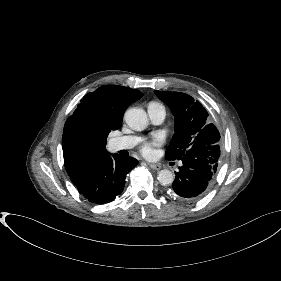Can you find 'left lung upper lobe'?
I'll return each mask as SVG.
<instances>
[{"instance_id":"left-lung-upper-lobe-1","label":"left lung upper lobe","mask_w":281,"mask_h":281,"mask_svg":"<svg viewBox=\"0 0 281 281\" xmlns=\"http://www.w3.org/2000/svg\"><path fill=\"white\" fill-rule=\"evenodd\" d=\"M175 116V133L166 150L168 160H181L193 146L218 144L220 134L207 120L206 109L191 96L170 91H155Z\"/></svg>"}]
</instances>
